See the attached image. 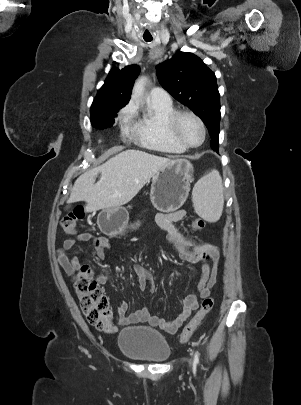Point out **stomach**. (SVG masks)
I'll list each match as a JSON object with an SVG mask.
<instances>
[{"instance_id": "0dacf381", "label": "stomach", "mask_w": 301, "mask_h": 405, "mask_svg": "<svg viewBox=\"0 0 301 405\" xmlns=\"http://www.w3.org/2000/svg\"><path fill=\"white\" fill-rule=\"evenodd\" d=\"M193 173V164L188 159L169 160L153 177L150 190L153 206L166 213L178 210L188 198ZM98 223L107 225L103 227L105 232L119 234L128 227V213L122 208L106 209L99 214Z\"/></svg>"}]
</instances>
